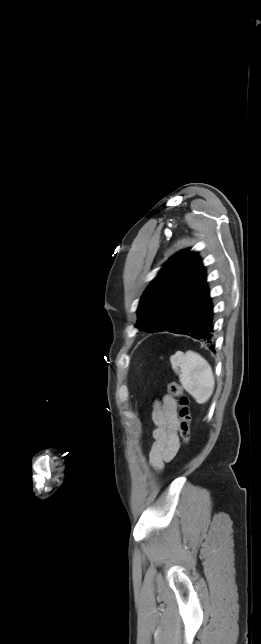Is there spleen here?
Returning <instances> with one entry per match:
<instances>
[{"mask_svg": "<svg viewBox=\"0 0 261 644\" xmlns=\"http://www.w3.org/2000/svg\"><path fill=\"white\" fill-rule=\"evenodd\" d=\"M172 369L179 374L183 388L199 404L208 401L214 391L215 380L210 364L191 350L177 351L170 357Z\"/></svg>", "mask_w": 261, "mask_h": 644, "instance_id": "obj_1", "label": "spleen"}]
</instances>
